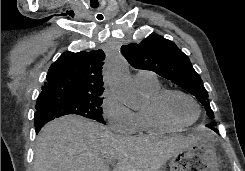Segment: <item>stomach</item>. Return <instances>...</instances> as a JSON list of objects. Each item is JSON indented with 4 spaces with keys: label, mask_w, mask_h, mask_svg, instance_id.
<instances>
[{
    "label": "stomach",
    "mask_w": 245,
    "mask_h": 171,
    "mask_svg": "<svg viewBox=\"0 0 245 171\" xmlns=\"http://www.w3.org/2000/svg\"><path fill=\"white\" fill-rule=\"evenodd\" d=\"M170 171H219L214 136L201 134L196 143L173 155Z\"/></svg>",
    "instance_id": "stomach-1"
}]
</instances>
